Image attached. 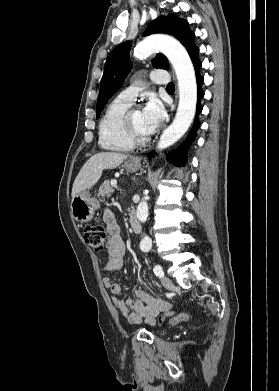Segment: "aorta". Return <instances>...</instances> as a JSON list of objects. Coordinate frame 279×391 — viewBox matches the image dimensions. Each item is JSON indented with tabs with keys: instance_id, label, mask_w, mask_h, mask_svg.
Instances as JSON below:
<instances>
[{
	"instance_id": "1",
	"label": "aorta",
	"mask_w": 279,
	"mask_h": 391,
	"mask_svg": "<svg viewBox=\"0 0 279 391\" xmlns=\"http://www.w3.org/2000/svg\"><path fill=\"white\" fill-rule=\"evenodd\" d=\"M161 51L171 62L178 80L179 104L172 124L162 133L157 148L165 149L177 142L190 127L196 111L197 83L195 71L188 52L180 42L169 36L153 35L139 42L134 55L143 59L155 51ZM137 218L144 223L148 218L146 197L138 204ZM152 240L144 236L140 242L142 251H149Z\"/></svg>"
}]
</instances>
